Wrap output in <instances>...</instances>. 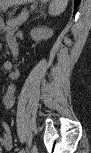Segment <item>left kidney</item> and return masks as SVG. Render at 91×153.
Masks as SVG:
<instances>
[{"mask_svg":"<svg viewBox=\"0 0 91 153\" xmlns=\"http://www.w3.org/2000/svg\"><path fill=\"white\" fill-rule=\"evenodd\" d=\"M53 35V30L47 27H38L31 31V36L35 41L47 40Z\"/></svg>","mask_w":91,"mask_h":153,"instance_id":"left-kidney-1","label":"left kidney"}]
</instances>
